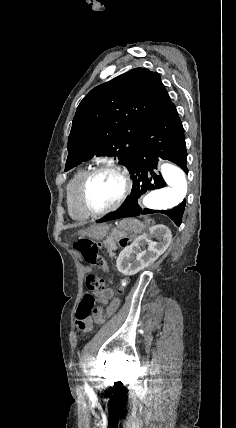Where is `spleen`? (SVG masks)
<instances>
[{"label": "spleen", "instance_id": "1", "mask_svg": "<svg viewBox=\"0 0 236 428\" xmlns=\"http://www.w3.org/2000/svg\"><path fill=\"white\" fill-rule=\"evenodd\" d=\"M120 230H125V232H134V234H141L144 230V224L135 220V218H125L120 222Z\"/></svg>", "mask_w": 236, "mask_h": 428}]
</instances>
